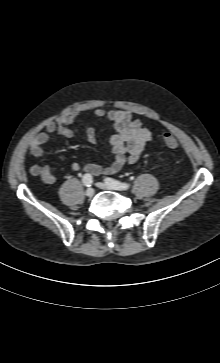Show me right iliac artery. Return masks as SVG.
<instances>
[{"mask_svg": "<svg viewBox=\"0 0 220 363\" xmlns=\"http://www.w3.org/2000/svg\"><path fill=\"white\" fill-rule=\"evenodd\" d=\"M82 182L87 187L91 186L92 185V182H93L92 175L89 174V173L84 174V176L82 178Z\"/></svg>", "mask_w": 220, "mask_h": 363, "instance_id": "obj_1", "label": "right iliac artery"}]
</instances>
